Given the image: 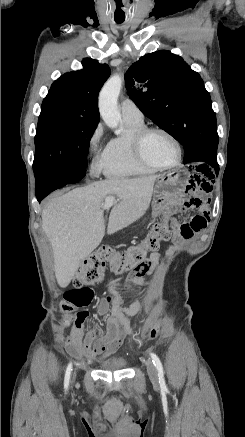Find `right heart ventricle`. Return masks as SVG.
<instances>
[{
    "label": "right heart ventricle",
    "mask_w": 245,
    "mask_h": 437,
    "mask_svg": "<svg viewBox=\"0 0 245 437\" xmlns=\"http://www.w3.org/2000/svg\"><path fill=\"white\" fill-rule=\"evenodd\" d=\"M124 133L109 141L105 148L101 170L108 178H130L155 173L135 157L131 140L144 127L143 121L123 119Z\"/></svg>",
    "instance_id": "right-heart-ventricle-1"
}]
</instances>
